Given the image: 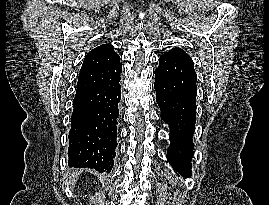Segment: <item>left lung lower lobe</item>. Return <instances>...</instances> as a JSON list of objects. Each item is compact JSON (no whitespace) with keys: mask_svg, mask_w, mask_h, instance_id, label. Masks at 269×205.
I'll list each match as a JSON object with an SVG mask.
<instances>
[{"mask_svg":"<svg viewBox=\"0 0 269 205\" xmlns=\"http://www.w3.org/2000/svg\"><path fill=\"white\" fill-rule=\"evenodd\" d=\"M197 76L193 61L163 54L155 70L156 100L161 119L169 125L168 161L181 175L191 176L195 130Z\"/></svg>","mask_w":269,"mask_h":205,"instance_id":"left-lung-lower-lobe-1","label":"left lung lower lobe"}]
</instances>
